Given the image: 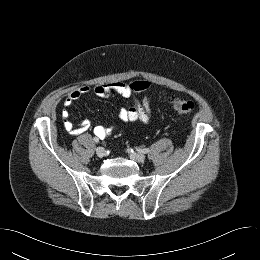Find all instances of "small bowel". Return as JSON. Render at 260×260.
<instances>
[{"mask_svg": "<svg viewBox=\"0 0 260 260\" xmlns=\"http://www.w3.org/2000/svg\"><path fill=\"white\" fill-rule=\"evenodd\" d=\"M151 87L152 84L146 80H137L131 83L114 81L109 83L97 84L92 89L89 86H81L72 90L64 99V108L61 111L63 124L66 130L71 135H81L91 128V122L88 120L82 121L78 125H73L69 118L70 113L67 110L81 96L94 92L99 97L119 96L122 98H131L139 93H145L141 102L135 101L132 106L122 108L118 112V118L121 122L140 121L147 124L151 119ZM113 128L104 127L101 124L94 126V133L98 138H105L110 135Z\"/></svg>", "mask_w": 260, "mask_h": 260, "instance_id": "1", "label": "small bowel"}]
</instances>
